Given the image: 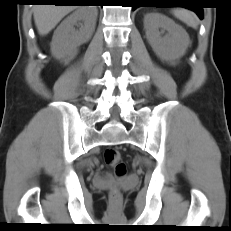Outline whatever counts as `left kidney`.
Here are the masks:
<instances>
[{
  "label": "left kidney",
  "mask_w": 231,
  "mask_h": 231,
  "mask_svg": "<svg viewBox=\"0 0 231 231\" xmlns=\"http://www.w3.org/2000/svg\"><path fill=\"white\" fill-rule=\"evenodd\" d=\"M144 29L149 44L160 59L174 62L185 54L190 41L189 35L169 17L149 13L144 17ZM164 31L168 34L162 37Z\"/></svg>",
  "instance_id": "5707ae66"
}]
</instances>
